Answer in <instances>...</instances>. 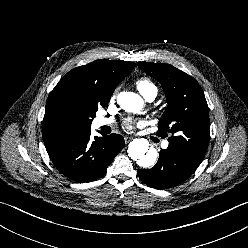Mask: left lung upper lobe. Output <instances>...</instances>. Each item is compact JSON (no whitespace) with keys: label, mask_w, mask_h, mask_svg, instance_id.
Returning <instances> with one entry per match:
<instances>
[{"label":"left lung upper lobe","mask_w":248,"mask_h":248,"mask_svg":"<svg viewBox=\"0 0 248 248\" xmlns=\"http://www.w3.org/2000/svg\"><path fill=\"white\" fill-rule=\"evenodd\" d=\"M139 68L163 86L168 102L159 121L158 136L171 135L174 146L197 161H202L209 144L208 105L198 82L169 64L138 62Z\"/></svg>","instance_id":"obj_1"}]
</instances>
